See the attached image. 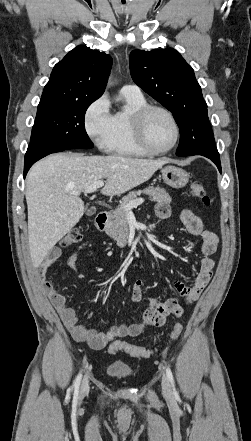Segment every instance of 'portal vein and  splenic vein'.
I'll return each mask as SVG.
<instances>
[{"label": "portal vein and splenic vein", "instance_id": "1", "mask_svg": "<svg viewBox=\"0 0 251 441\" xmlns=\"http://www.w3.org/2000/svg\"><path fill=\"white\" fill-rule=\"evenodd\" d=\"M103 186H104V182H103L102 180H100V181H96L94 184L88 186V187L86 188V190L84 191V193L86 194V193H92V192H95L98 188H101V187H103ZM73 194L79 196L81 193H80V192H73ZM143 202H144V199H143V198H138V199H136V200H133V201H131V202L125 204V205L123 206V208H124L126 211L129 212V211H131L132 208H136L137 206H139V205L142 204Z\"/></svg>", "mask_w": 251, "mask_h": 441}]
</instances>
